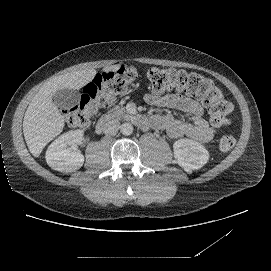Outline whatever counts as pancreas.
Wrapping results in <instances>:
<instances>
[{"label":"pancreas","mask_w":271,"mask_h":271,"mask_svg":"<svg viewBox=\"0 0 271 271\" xmlns=\"http://www.w3.org/2000/svg\"><path fill=\"white\" fill-rule=\"evenodd\" d=\"M109 114L116 118H129V115L126 113L125 108L116 106L112 110L109 111ZM104 117H102L100 120L102 121Z\"/></svg>","instance_id":"pancreas-1"}]
</instances>
